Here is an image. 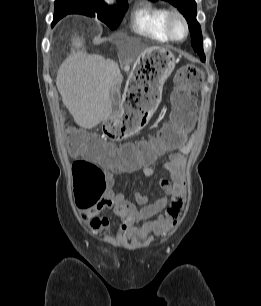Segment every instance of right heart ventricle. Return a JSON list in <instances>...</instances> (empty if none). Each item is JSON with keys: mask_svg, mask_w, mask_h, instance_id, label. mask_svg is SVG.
<instances>
[{"mask_svg": "<svg viewBox=\"0 0 261 306\" xmlns=\"http://www.w3.org/2000/svg\"><path fill=\"white\" fill-rule=\"evenodd\" d=\"M169 10L164 7L144 3L133 17V28L140 35L160 42L171 40L166 30V18Z\"/></svg>", "mask_w": 261, "mask_h": 306, "instance_id": "right-heart-ventricle-1", "label": "right heart ventricle"}]
</instances>
